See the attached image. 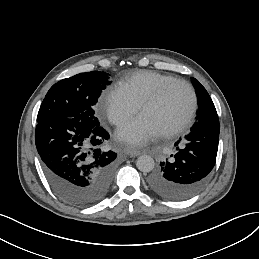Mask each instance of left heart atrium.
<instances>
[{
	"instance_id": "1",
	"label": "left heart atrium",
	"mask_w": 259,
	"mask_h": 259,
	"mask_svg": "<svg viewBox=\"0 0 259 259\" xmlns=\"http://www.w3.org/2000/svg\"><path fill=\"white\" fill-rule=\"evenodd\" d=\"M116 134L118 139L127 143L144 145L160 133L138 117L121 125Z\"/></svg>"
}]
</instances>
